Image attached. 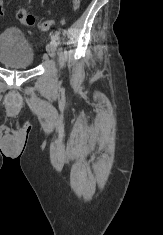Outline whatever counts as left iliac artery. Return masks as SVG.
<instances>
[{"label": "left iliac artery", "instance_id": "44dca946", "mask_svg": "<svg viewBox=\"0 0 163 235\" xmlns=\"http://www.w3.org/2000/svg\"><path fill=\"white\" fill-rule=\"evenodd\" d=\"M55 46H57V41H56V38L53 36L52 37V41H51Z\"/></svg>", "mask_w": 163, "mask_h": 235}]
</instances>
